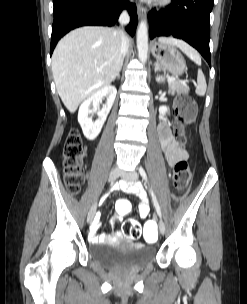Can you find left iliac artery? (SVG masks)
Masks as SVG:
<instances>
[{"label": "left iliac artery", "mask_w": 247, "mask_h": 304, "mask_svg": "<svg viewBox=\"0 0 247 304\" xmlns=\"http://www.w3.org/2000/svg\"><path fill=\"white\" fill-rule=\"evenodd\" d=\"M139 173H140V175L142 176V178H143L146 182H148L147 174H146L145 170H144L142 167L139 168ZM149 191H150L151 198H152L154 207H155V209H156V212H157V214L159 215V217L161 218V217H162V213H161V209H160V206H159V204H158L157 198H156V196H155V194H154V192H153V190H152L151 188H150Z\"/></svg>", "instance_id": "obj_1"}]
</instances>
